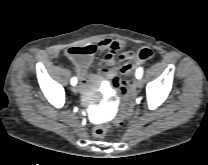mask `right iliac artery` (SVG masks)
<instances>
[{"label": "right iliac artery", "mask_w": 208, "mask_h": 165, "mask_svg": "<svg viewBox=\"0 0 208 165\" xmlns=\"http://www.w3.org/2000/svg\"><path fill=\"white\" fill-rule=\"evenodd\" d=\"M77 83V79H76V77H73L72 79H71V84L72 85H75Z\"/></svg>", "instance_id": "1"}]
</instances>
